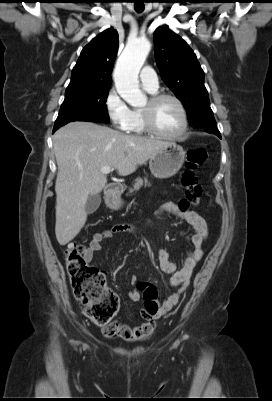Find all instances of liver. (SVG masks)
<instances>
[{
	"instance_id": "liver-1",
	"label": "liver",
	"mask_w": 272,
	"mask_h": 401,
	"mask_svg": "<svg viewBox=\"0 0 272 401\" xmlns=\"http://www.w3.org/2000/svg\"><path fill=\"white\" fill-rule=\"evenodd\" d=\"M168 144L86 121L70 122L58 129L53 136L58 166L55 183L58 243L66 245L84 226L88 196L99 194L107 183L103 167L115 168L122 176L129 175Z\"/></svg>"
}]
</instances>
